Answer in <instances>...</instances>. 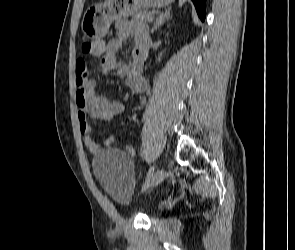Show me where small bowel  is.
Instances as JSON below:
<instances>
[{
    "mask_svg": "<svg viewBox=\"0 0 295 250\" xmlns=\"http://www.w3.org/2000/svg\"><path fill=\"white\" fill-rule=\"evenodd\" d=\"M116 32L117 36L108 42L100 41L97 50L92 55L99 58L101 73L118 74L134 93L140 94L147 84L143 75V65L150 45L149 37L143 28L135 27L132 23L125 21L117 24ZM130 37L134 41L132 57L128 61H120L117 58V53L122 42ZM75 71L79 130L84 137L85 147L91 153H97L100 146L91 136L90 119L111 120L123 111L124 106L120 101L110 100L96 91V82L90 78V70L84 59L77 60ZM113 142V136H107L104 139L105 146H110ZM126 152L130 156L135 155L132 147H127Z\"/></svg>",
    "mask_w": 295,
    "mask_h": 250,
    "instance_id": "c3829d8e",
    "label": "small bowel"
}]
</instances>
